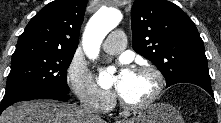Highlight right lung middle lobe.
Segmentation results:
<instances>
[{
	"label": "right lung middle lobe",
	"instance_id": "1",
	"mask_svg": "<svg viewBox=\"0 0 221 123\" xmlns=\"http://www.w3.org/2000/svg\"><path fill=\"white\" fill-rule=\"evenodd\" d=\"M74 53L24 49L12 55L11 71L2 104L13 100H33L53 90L69 93L67 69Z\"/></svg>",
	"mask_w": 221,
	"mask_h": 123
}]
</instances>
